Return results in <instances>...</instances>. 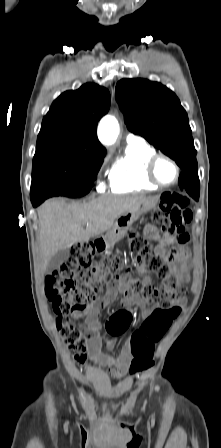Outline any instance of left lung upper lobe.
<instances>
[{
  "instance_id": "obj_1",
  "label": "left lung upper lobe",
  "mask_w": 221,
  "mask_h": 448,
  "mask_svg": "<svg viewBox=\"0 0 221 448\" xmlns=\"http://www.w3.org/2000/svg\"><path fill=\"white\" fill-rule=\"evenodd\" d=\"M116 100L128 129L176 161L183 169H197L188 116L177 96L157 82L122 79Z\"/></svg>"
}]
</instances>
